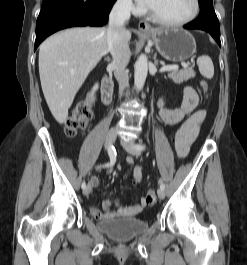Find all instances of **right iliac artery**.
Listing matches in <instances>:
<instances>
[{
    "label": "right iliac artery",
    "mask_w": 247,
    "mask_h": 265,
    "mask_svg": "<svg viewBox=\"0 0 247 265\" xmlns=\"http://www.w3.org/2000/svg\"><path fill=\"white\" fill-rule=\"evenodd\" d=\"M109 157H110V162L105 165V167H110L113 166L115 161H116V150L113 146L109 147L108 149ZM97 169L100 168V166L96 167ZM82 189L84 190L86 188V183L85 181L81 185Z\"/></svg>",
    "instance_id": "obj_1"
}]
</instances>
